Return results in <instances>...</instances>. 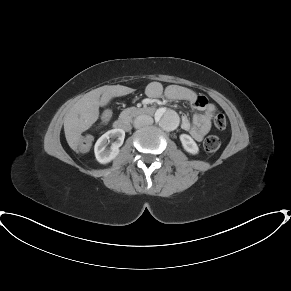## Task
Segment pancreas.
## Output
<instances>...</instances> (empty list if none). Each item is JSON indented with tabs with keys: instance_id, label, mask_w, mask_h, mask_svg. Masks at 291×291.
Returning a JSON list of instances; mask_svg holds the SVG:
<instances>
[{
	"instance_id": "cf45deb5",
	"label": "pancreas",
	"mask_w": 291,
	"mask_h": 291,
	"mask_svg": "<svg viewBox=\"0 0 291 291\" xmlns=\"http://www.w3.org/2000/svg\"><path fill=\"white\" fill-rule=\"evenodd\" d=\"M133 110H136V108L125 109L124 111L121 112L120 117H126V116L130 115V113Z\"/></svg>"
}]
</instances>
